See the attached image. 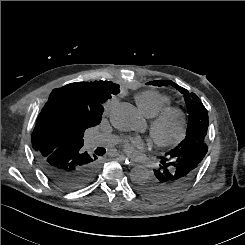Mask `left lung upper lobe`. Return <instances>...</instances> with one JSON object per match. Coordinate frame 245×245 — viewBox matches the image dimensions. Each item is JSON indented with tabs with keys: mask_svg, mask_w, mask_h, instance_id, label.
I'll use <instances>...</instances> for the list:
<instances>
[{
	"mask_svg": "<svg viewBox=\"0 0 245 245\" xmlns=\"http://www.w3.org/2000/svg\"><path fill=\"white\" fill-rule=\"evenodd\" d=\"M147 85H154V86L171 85L173 87H176V89H178L182 94H184V98L189 113L188 127H187L185 139L176 148H174V150L188 144L205 141V136L207 134L208 123H209L208 113L206 108L200 101V99L194 93H189L188 90L178 86L177 84H175L173 81L170 80L151 81L148 82Z\"/></svg>",
	"mask_w": 245,
	"mask_h": 245,
	"instance_id": "1",
	"label": "left lung upper lobe"
}]
</instances>
